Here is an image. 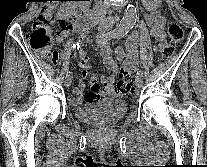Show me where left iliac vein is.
I'll list each match as a JSON object with an SVG mask.
<instances>
[{
	"mask_svg": "<svg viewBox=\"0 0 207 167\" xmlns=\"http://www.w3.org/2000/svg\"><path fill=\"white\" fill-rule=\"evenodd\" d=\"M142 76L137 75L135 79L136 87L140 88L142 86Z\"/></svg>",
	"mask_w": 207,
	"mask_h": 167,
	"instance_id": "obj_1",
	"label": "left iliac vein"
}]
</instances>
